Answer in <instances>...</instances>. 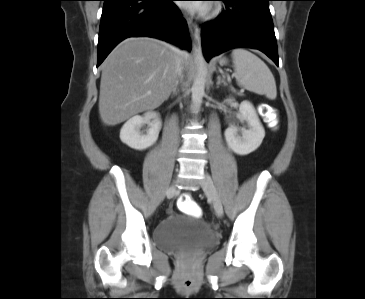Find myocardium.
<instances>
[{
  "label": "myocardium",
  "mask_w": 365,
  "mask_h": 299,
  "mask_svg": "<svg viewBox=\"0 0 365 299\" xmlns=\"http://www.w3.org/2000/svg\"><path fill=\"white\" fill-rule=\"evenodd\" d=\"M220 11H221V8H220V7H218V6H216V7L212 8V9L209 11V13H208V15H207V16H208V17H214V16L218 15Z\"/></svg>",
  "instance_id": "f54148a6"
}]
</instances>
